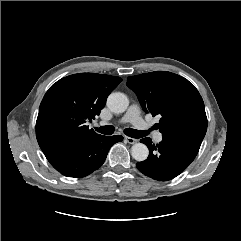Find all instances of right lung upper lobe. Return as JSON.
Wrapping results in <instances>:
<instances>
[{"mask_svg": "<svg viewBox=\"0 0 241 241\" xmlns=\"http://www.w3.org/2000/svg\"><path fill=\"white\" fill-rule=\"evenodd\" d=\"M120 77L79 73L64 77L46 92L36 121L42 151L53 146L99 135L85 125L104 108Z\"/></svg>", "mask_w": 241, "mask_h": 241, "instance_id": "cb5924a9", "label": "right lung upper lobe"}]
</instances>
